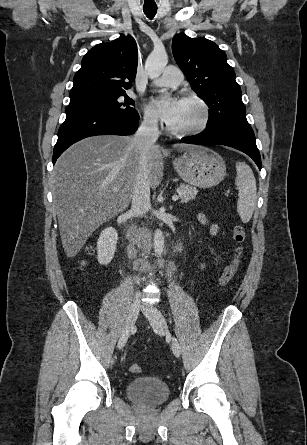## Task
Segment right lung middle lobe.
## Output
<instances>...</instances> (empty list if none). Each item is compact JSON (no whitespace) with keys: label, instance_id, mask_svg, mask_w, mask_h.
<instances>
[{"label":"right lung middle lobe","instance_id":"1","mask_svg":"<svg viewBox=\"0 0 307 445\" xmlns=\"http://www.w3.org/2000/svg\"><path fill=\"white\" fill-rule=\"evenodd\" d=\"M124 97V100L122 99ZM134 101L125 93L113 95H91L71 98L66 114L76 112H112L128 117H138L131 106Z\"/></svg>","mask_w":307,"mask_h":445}]
</instances>
